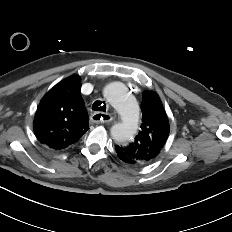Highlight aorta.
<instances>
[{
  "mask_svg": "<svg viewBox=\"0 0 232 232\" xmlns=\"http://www.w3.org/2000/svg\"><path fill=\"white\" fill-rule=\"evenodd\" d=\"M104 97L120 113L122 121L111 128L112 138L123 143L131 140L138 130L139 107L124 84L113 82L104 88Z\"/></svg>",
  "mask_w": 232,
  "mask_h": 232,
  "instance_id": "obj_1",
  "label": "aorta"
}]
</instances>
